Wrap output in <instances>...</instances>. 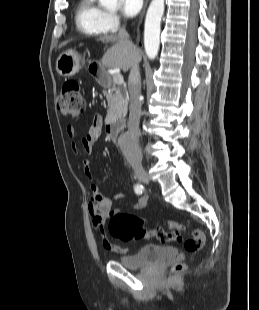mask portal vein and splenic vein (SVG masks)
<instances>
[{
    "label": "portal vein and splenic vein",
    "mask_w": 259,
    "mask_h": 310,
    "mask_svg": "<svg viewBox=\"0 0 259 310\" xmlns=\"http://www.w3.org/2000/svg\"><path fill=\"white\" fill-rule=\"evenodd\" d=\"M113 81L117 85H121V84H123L124 79H123V76L118 73V74L113 75Z\"/></svg>",
    "instance_id": "obj_1"
}]
</instances>
